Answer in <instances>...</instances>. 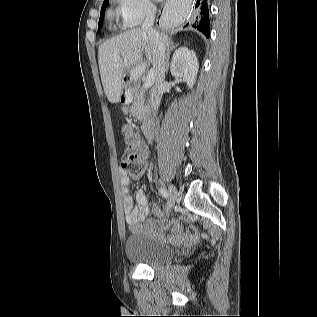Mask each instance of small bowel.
I'll use <instances>...</instances> for the list:
<instances>
[{
	"instance_id": "small-bowel-1",
	"label": "small bowel",
	"mask_w": 317,
	"mask_h": 317,
	"mask_svg": "<svg viewBox=\"0 0 317 317\" xmlns=\"http://www.w3.org/2000/svg\"><path fill=\"white\" fill-rule=\"evenodd\" d=\"M141 155L143 161L148 157L147 147L140 142ZM121 191L123 195V208L125 212V220L128 228L132 232H144L148 233L155 239L170 241V242H192L198 238V230L195 226L191 225L187 229H184L182 224L176 220L165 223L164 225L157 227L152 220L141 224L149 214V206L145 193L143 190H138L135 196V204L133 197L130 194V178L125 172H120ZM154 214L157 216L162 215V211L158 207L153 208Z\"/></svg>"
}]
</instances>
